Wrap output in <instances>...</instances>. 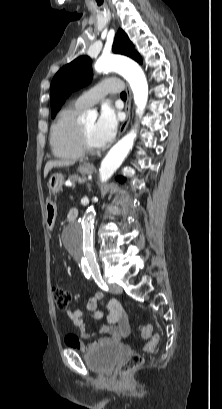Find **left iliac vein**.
<instances>
[{
  "mask_svg": "<svg viewBox=\"0 0 222 409\" xmlns=\"http://www.w3.org/2000/svg\"><path fill=\"white\" fill-rule=\"evenodd\" d=\"M109 291L114 294L122 293V287L118 284L111 283L109 284Z\"/></svg>",
  "mask_w": 222,
  "mask_h": 409,
  "instance_id": "1",
  "label": "left iliac vein"
}]
</instances>
